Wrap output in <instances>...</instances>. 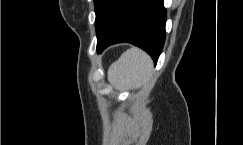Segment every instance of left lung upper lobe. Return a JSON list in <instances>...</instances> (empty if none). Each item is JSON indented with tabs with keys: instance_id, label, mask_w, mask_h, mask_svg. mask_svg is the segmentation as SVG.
Listing matches in <instances>:
<instances>
[{
	"instance_id": "1",
	"label": "left lung upper lobe",
	"mask_w": 243,
	"mask_h": 145,
	"mask_svg": "<svg viewBox=\"0 0 243 145\" xmlns=\"http://www.w3.org/2000/svg\"><path fill=\"white\" fill-rule=\"evenodd\" d=\"M129 0H94L96 32L105 34Z\"/></svg>"
}]
</instances>
